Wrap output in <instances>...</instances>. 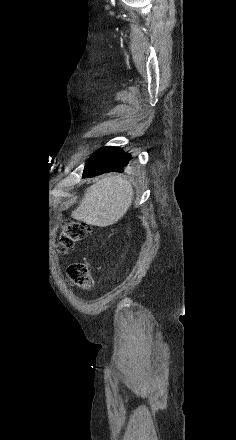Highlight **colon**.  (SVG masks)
I'll use <instances>...</instances> for the list:
<instances>
[{
  "instance_id": "obj_1",
  "label": "colon",
  "mask_w": 236,
  "mask_h": 440,
  "mask_svg": "<svg viewBox=\"0 0 236 440\" xmlns=\"http://www.w3.org/2000/svg\"><path fill=\"white\" fill-rule=\"evenodd\" d=\"M90 233V227L79 221L64 223L59 236V250L62 253L70 250L75 243L82 241ZM68 276L71 283L81 289L92 287L94 280L91 268L86 263H72L68 267Z\"/></svg>"
}]
</instances>
